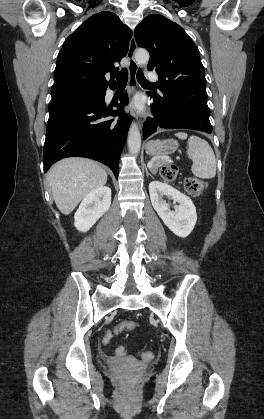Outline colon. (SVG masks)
Returning a JSON list of instances; mask_svg holds the SVG:
<instances>
[{
	"label": "colon",
	"mask_w": 264,
	"mask_h": 419,
	"mask_svg": "<svg viewBox=\"0 0 264 419\" xmlns=\"http://www.w3.org/2000/svg\"><path fill=\"white\" fill-rule=\"evenodd\" d=\"M161 177L165 181H172L176 178L177 167L174 165L164 166L160 171ZM185 189L191 195H197L202 192L205 188V182L195 178H188L185 180ZM122 329L133 330L136 328V323L134 321H126L121 324ZM113 332H107L103 337V342L109 344L112 340ZM142 358L145 360H151L153 358V353L150 351H145L141 354Z\"/></svg>",
	"instance_id": "5ec220e1"
}]
</instances>
